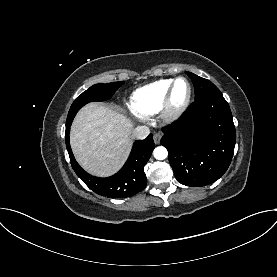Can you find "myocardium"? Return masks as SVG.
Here are the masks:
<instances>
[{
    "mask_svg": "<svg viewBox=\"0 0 277 277\" xmlns=\"http://www.w3.org/2000/svg\"><path fill=\"white\" fill-rule=\"evenodd\" d=\"M180 81H183L186 83L188 91L184 100L179 104H175L173 100L174 92H175L177 83ZM191 98H192V86H191V83L188 81V79L184 77H178L174 79V81L170 85L165 95L164 102L160 109L161 117L165 121H174L178 119L188 108L191 102Z\"/></svg>",
    "mask_w": 277,
    "mask_h": 277,
    "instance_id": "obj_1",
    "label": "myocardium"
}]
</instances>
